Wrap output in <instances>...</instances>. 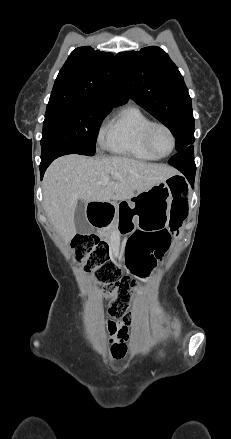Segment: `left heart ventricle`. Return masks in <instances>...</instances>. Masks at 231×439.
I'll use <instances>...</instances> for the list:
<instances>
[{
	"mask_svg": "<svg viewBox=\"0 0 231 439\" xmlns=\"http://www.w3.org/2000/svg\"><path fill=\"white\" fill-rule=\"evenodd\" d=\"M151 139L153 147L158 154H166L170 150L171 139L163 128H155Z\"/></svg>",
	"mask_w": 231,
	"mask_h": 439,
	"instance_id": "left-heart-ventricle-1",
	"label": "left heart ventricle"
}]
</instances>
